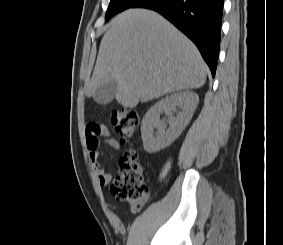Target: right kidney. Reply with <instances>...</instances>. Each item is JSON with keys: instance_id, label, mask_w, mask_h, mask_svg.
Masks as SVG:
<instances>
[{"instance_id": "obj_1", "label": "right kidney", "mask_w": 283, "mask_h": 245, "mask_svg": "<svg viewBox=\"0 0 283 245\" xmlns=\"http://www.w3.org/2000/svg\"><path fill=\"white\" fill-rule=\"evenodd\" d=\"M198 103V95L191 91L174 93L155 103L147 111L141 124L145 151L154 153L170 145L188 125ZM163 112L169 115L166 121L160 120ZM166 124H169L168 129Z\"/></svg>"}]
</instances>
